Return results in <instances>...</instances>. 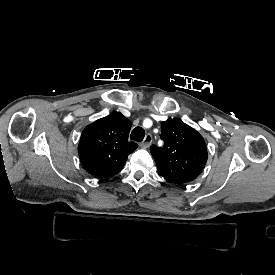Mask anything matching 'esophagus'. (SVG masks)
Returning a JSON list of instances; mask_svg holds the SVG:
<instances>
[{
  "mask_svg": "<svg viewBox=\"0 0 275 275\" xmlns=\"http://www.w3.org/2000/svg\"><path fill=\"white\" fill-rule=\"evenodd\" d=\"M151 142H152V135L147 134L145 136V139L140 143V147L146 149L151 145Z\"/></svg>",
  "mask_w": 275,
  "mask_h": 275,
  "instance_id": "34e87169",
  "label": "esophagus"
}]
</instances>
